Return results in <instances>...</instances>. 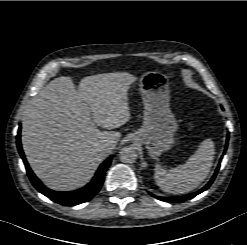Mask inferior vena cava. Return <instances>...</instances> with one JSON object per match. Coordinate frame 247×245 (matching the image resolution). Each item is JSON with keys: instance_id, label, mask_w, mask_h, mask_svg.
Masks as SVG:
<instances>
[{"instance_id": "obj_1", "label": "inferior vena cava", "mask_w": 247, "mask_h": 245, "mask_svg": "<svg viewBox=\"0 0 247 245\" xmlns=\"http://www.w3.org/2000/svg\"><path fill=\"white\" fill-rule=\"evenodd\" d=\"M100 149L103 152H111L114 149V144L112 142H104L100 145Z\"/></svg>"}]
</instances>
